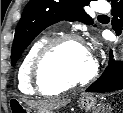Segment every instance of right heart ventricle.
<instances>
[{
    "instance_id": "1",
    "label": "right heart ventricle",
    "mask_w": 123,
    "mask_h": 113,
    "mask_svg": "<svg viewBox=\"0 0 123 113\" xmlns=\"http://www.w3.org/2000/svg\"><path fill=\"white\" fill-rule=\"evenodd\" d=\"M51 37L49 35L43 36L37 41H35L27 53L25 54L18 72H17V82H18V87L21 91L27 92V93H36V94H41V95H54L59 93L60 91H43L37 88L31 77V68H32V63L33 60L39 51V49L50 39Z\"/></svg>"
}]
</instances>
